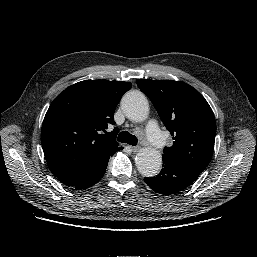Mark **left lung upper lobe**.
Masks as SVG:
<instances>
[{"mask_svg":"<svg viewBox=\"0 0 257 257\" xmlns=\"http://www.w3.org/2000/svg\"><path fill=\"white\" fill-rule=\"evenodd\" d=\"M136 83L173 136V145L164 148L163 157L202 173L211 161L216 134L208 102L184 82L138 79Z\"/></svg>","mask_w":257,"mask_h":257,"instance_id":"5c2ea615","label":"left lung upper lobe"}]
</instances>
